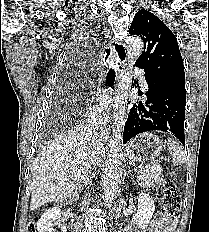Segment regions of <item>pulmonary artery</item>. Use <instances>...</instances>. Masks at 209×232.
I'll return each instance as SVG.
<instances>
[{
  "label": "pulmonary artery",
  "instance_id": "1",
  "mask_svg": "<svg viewBox=\"0 0 209 232\" xmlns=\"http://www.w3.org/2000/svg\"><path fill=\"white\" fill-rule=\"evenodd\" d=\"M136 74L139 76L140 78V82H141V86L144 90H146L148 88L147 82L145 80L144 77V73L141 70H136Z\"/></svg>",
  "mask_w": 209,
  "mask_h": 232
}]
</instances>
